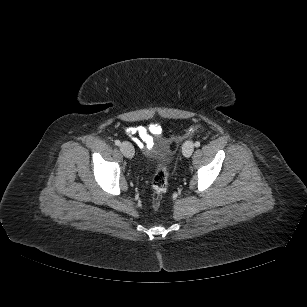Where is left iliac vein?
<instances>
[{
	"mask_svg": "<svg viewBox=\"0 0 307 307\" xmlns=\"http://www.w3.org/2000/svg\"><path fill=\"white\" fill-rule=\"evenodd\" d=\"M194 151V143L192 141H186L183 145L182 152L185 157H190Z\"/></svg>",
	"mask_w": 307,
	"mask_h": 307,
	"instance_id": "4c4485c4",
	"label": "left iliac vein"
}]
</instances>
